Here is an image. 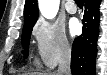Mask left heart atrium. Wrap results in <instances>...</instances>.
Instances as JSON below:
<instances>
[{"mask_svg":"<svg viewBox=\"0 0 107 75\" xmlns=\"http://www.w3.org/2000/svg\"><path fill=\"white\" fill-rule=\"evenodd\" d=\"M80 30V25L77 20H73L70 24V31L73 35L77 34Z\"/></svg>","mask_w":107,"mask_h":75,"instance_id":"39dd6f15","label":"left heart atrium"}]
</instances>
